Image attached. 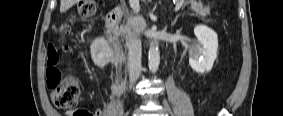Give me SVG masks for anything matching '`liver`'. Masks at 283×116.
Masks as SVG:
<instances>
[{
	"instance_id": "liver-1",
	"label": "liver",
	"mask_w": 283,
	"mask_h": 116,
	"mask_svg": "<svg viewBox=\"0 0 283 116\" xmlns=\"http://www.w3.org/2000/svg\"><path fill=\"white\" fill-rule=\"evenodd\" d=\"M79 0H61L60 2V12L64 13L68 9H70L73 5H75Z\"/></svg>"
}]
</instances>
